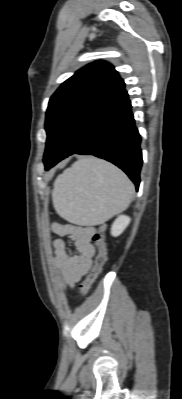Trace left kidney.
<instances>
[{"instance_id": "left-kidney-1", "label": "left kidney", "mask_w": 182, "mask_h": 399, "mask_svg": "<svg viewBox=\"0 0 182 399\" xmlns=\"http://www.w3.org/2000/svg\"><path fill=\"white\" fill-rule=\"evenodd\" d=\"M130 221V217L126 215H119L112 224L111 235L113 237H118L121 235L129 225Z\"/></svg>"}]
</instances>
